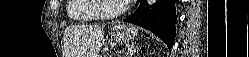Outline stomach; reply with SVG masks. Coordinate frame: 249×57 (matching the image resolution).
<instances>
[{
  "label": "stomach",
  "mask_w": 249,
  "mask_h": 57,
  "mask_svg": "<svg viewBox=\"0 0 249 57\" xmlns=\"http://www.w3.org/2000/svg\"><path fill=\"white\" fill-rule=\"evenodd\" d=\"M137 35V29L132 25L118 24L112 27L110 36L113 41L119 44L127 43Z\"/></svg>",
  "instance_id": "0dacf381"
}]
</instances>
